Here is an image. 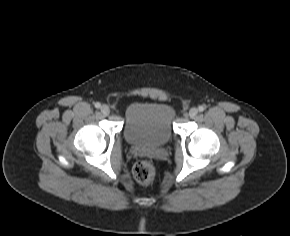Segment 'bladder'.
Listing matches in <instances>:
<instances>
[{
    "label": "bladder",
    "mask_w": 290,
    "mask_h": 236,
    "mask_svg": "<svg viewBox=\"0 0 290 236\" xmlns=\"http://www.w3.org/2000/svg\"><path fill=\"white\" fill-rule=\"evenodd\" d=\"M174 116L168 104L134 103L126 112L125 140L134 146H163L172 137Z\"/></svg>",
    "instance_id": "31cf9c89"
}]
</instances>
